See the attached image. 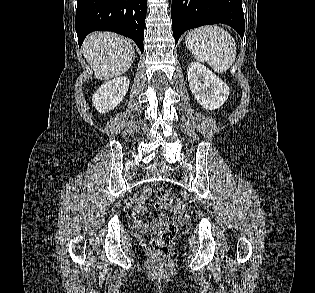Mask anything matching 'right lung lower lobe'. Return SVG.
<instances>
[{"mask_svg":"<svg viewBox=\"0 0 315 293\" xmlns=\"http://www.w3.org/2000/svg\"><path fill=\"white\" fill-rule=\"evenodd\" d=\"M146 0H77L79 46L92 31H112L131 38L144 51Z\"/></svg>","mask_w":315,"mask_h":293,"instance_id":"right-lung-lower-lobe-1","label":"right lung lower lobe"}]
</instances>
